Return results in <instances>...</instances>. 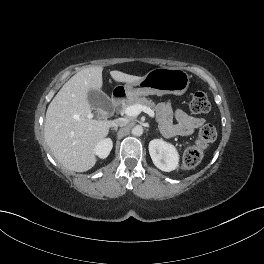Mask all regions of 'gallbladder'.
I'll use <instances>...</instances> for the list:
<instances>
[{
	"mask_svg": "<svg viewBox=\"0 0 264 264\" xmlns=\"http://www.w3.org/2000/svg\"><path fill=\"white\" fill-rule=\"evenodd\" d=\"M88 101L95 110L107 109L111 104L110 98L104 92L98 90L89 91Z\"/></svg>",
	"mask_w": 264,
	"mask_h": 264,
	"instance_id": "obj_1",
	"label": "gallbladder"
}]
</instances>
